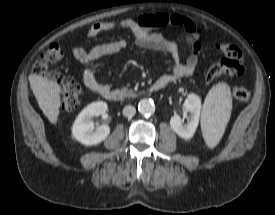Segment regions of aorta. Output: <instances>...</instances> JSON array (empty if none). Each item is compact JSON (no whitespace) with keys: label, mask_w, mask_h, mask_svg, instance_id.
I'll return each mask as SVG.
<instances>
[{"label":"aorta","mask_w":275,"mask_h":215,"mask_svg":"<svg viewBox=\"0 0 275 215\" xmlns=\"http://www.w3.org/2000/svg\"><path fill=\"white\" fill-rule=\"evenodd\" d=\"M138 110L142 115H151L155 112V105L148 99H142L138 104Z\"/></svg>","instance_id":"aorta-1"}]
</instances>
